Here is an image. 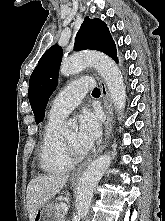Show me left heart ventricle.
I'll list each match as a JSON object with an SVG mask.
<instances>
[{
	"label": "left heart ventricle",
	"instance_id": "left-heart-ventricle-1",
	"mask_svg": "<svg viewBox=\"0 0 165 221\" xmlns=\"http://www.w3.org/2000/svg\"><path fill=\"white\" fill-rule=\"evenodd\" d=\"M65 138L68 140V142L79 152L86 151L79 143L78 141V132L77 130H72L70 132H67L65 135Z\"/></svg>",
	"mask_w": 165,
	"mask_h": 221
}]
</instances>
